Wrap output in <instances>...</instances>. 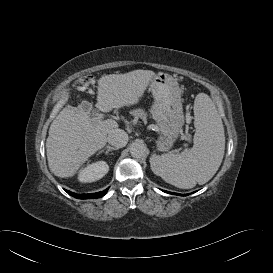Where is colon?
<instances>
[{
  "label": "colon",
  "instance_id": "1",
  "mask_svg": "<svg viewBox=\"0 0 273 273\" xmlns=\"http://www.w3.org/2000/svg\"><path fill=\"white\" fill-rule=\"evenodd\" d=\"M92 81H93L92 75L80 77L74 82V88L80 92L85 91L90 87Z\"/></svg>",
  "mask_w": 273,
  "mask_h": 273
}]
</instances>
